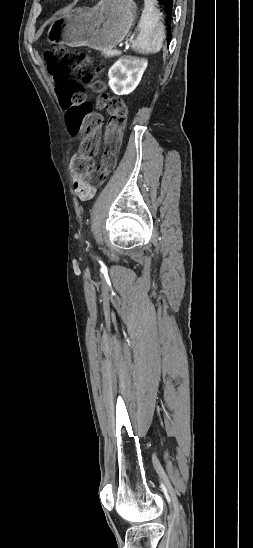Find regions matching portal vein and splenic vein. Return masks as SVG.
Instances as JSON below:
<instances>
[{"label": "portal vein and splenic vein", "mask_w": 253, "mask_h": 548, "mask_svg": "<svg viewBox=\"0 0 253 548\" xmlns=\"http://www.w3.org/2000/svg\"><path fill=\"white\" fill-rule=\"evenodd\" d=\"M132 40H133V36L130 38V41H132ZM115 53H116V54H120L121 51H120V50H116Z\"/></svg>", "instance_id": "1"}]
</instances>
